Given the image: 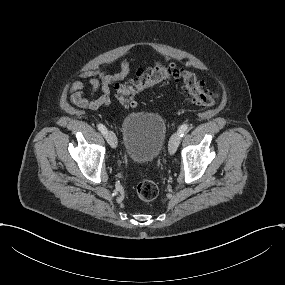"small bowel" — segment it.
<instances>
[{
	"label": "small bowel",
	"instance_id": "c3829d8e",
	"mask_svg": "<svg viewBox=\"0 0 285 285\" xmlns=\"http://www.w3.org/2000/svg\"><path fill=\"white\" fill-rule=\"evenodd\" d=\"M168 60V58H163L157 60L155 64L161 65ZM130 71V63L126 59L121 61L120 70L115 74H108L101 67L83 70L79 74L81 80L71 83L68 87L69 100L81 109L107 108L112 102V87L127 78ZM86 88H89V94L85 93ZM98 91L101 92V95L94 97Z\"/></svg>",
	"mask_w": 285,
	"mask_h": 285
}]
</instances>
